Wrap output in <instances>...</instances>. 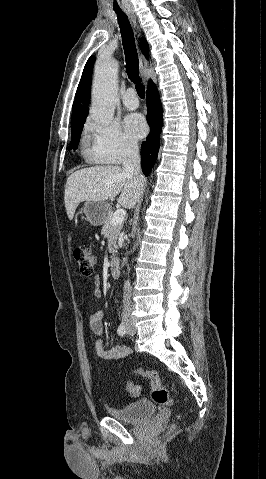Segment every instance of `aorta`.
I'll list each match as a JSON object with an SVG mask.
<instances>
[{
    "label": "aorta",
    "mask_w": 266,
    "mask_h": 479,
    "mask_svg": "<svg viewBox=\"0 0 266 479\" xmlns=\"http://www.w3.org/2000/svg\"><path fill=\"white\" fill-rule=\"evenodd\" d=\"M117 76V61L101 60L96 65L90 114L97 123L108 125L113 121L118 102Z\"/></svg>",
    "instance_id": "762f6f07"
}]
</instances>
